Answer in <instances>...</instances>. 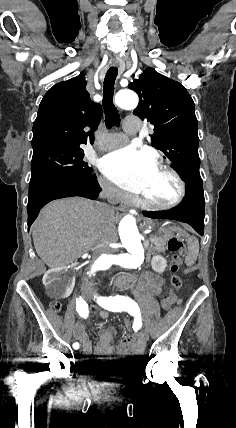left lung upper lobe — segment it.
Masks as SVG:
<instances>
[{"label":"left lung upper lobe","mask_w":236,"mask_h":428,"mask_svg":"<svg viewBox=\"0 0 236 428\" xmlns=\"http://www.w3.org/2000/svg\"><path fill=\"white\" fill-rule=\"evenodd\" d=\"M128 87L139 95L133 114L154 125L151 145L166 155L186 185L202 183L194 102L185 87L152 68Z\"/></svg>","instance_id":"left-lung-upper-lobe-1"}]
</instances>
